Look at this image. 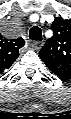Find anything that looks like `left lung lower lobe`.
Returning <instances> with one entry per match:
<instances>
[{
	"label": "left lung lower lobe",
	"mask_w": 71,
	"mask_h": 119,
	"mask_svg": "<svg viewBox=\"0 0 71 119\" xmlns=\"http://www.w3.org/2000/svg\"><path fill=\"white\" fill-rule=\"evenodd\" d=\"M56 75V74H55ZM58 76V75H57ZM58 77H60L61 79H70V78H65V77H61V76H58Z\"/></svg>",
	"instance_id": "0a47b994"
}]
</instances>
